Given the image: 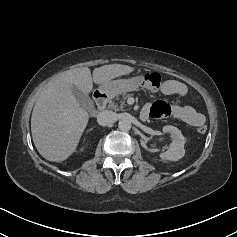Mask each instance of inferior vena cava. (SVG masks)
Here are the masks:
<instances>
[{"mask_svg": "<svg viewBox=\"0 0 237 237\" xmlns=\"http://www.w3.org/2000/svg\"><path fill=\"white\" fill-rule=\"evenodd\" d=\"M116 121V114L112 111L105 110L98 114L97 122L101 126H107Z\"/></svg>", "mask_w": 237, "mask_h": 237, "instance_id": "602c4592", "label": "inferior vena cava"}]
</instances>
